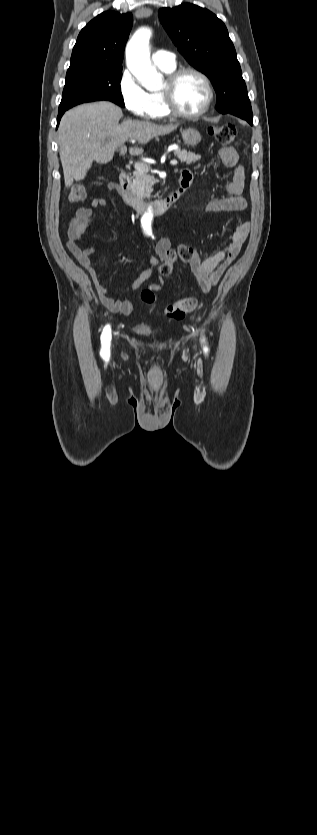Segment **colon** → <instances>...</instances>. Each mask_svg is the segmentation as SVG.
Masks as SVG:
<instances>
[{
	"label": "colon",
	"instance_id": "5ec220e1",
	"mask_svg": "<svg viewBox=\"0 0 317 835\" xmlns=\"http://www.w3.org/2000/svg\"><path fill=\"white\" fill-rule=\"evenodd\" d=\"M215 140L222 145L231 144L236 137V128L233 125L212 126L209 130ZM86 188L81 184L73 185L70 189L68 200L72 204L83 201L86 197ZM196 250L189 246H182L177 253L180 260H188L196 254ZM172 272V263L166 262L161 265V273L169 275ZM140 299L146 304H153L156 300L155 293L151 289H144L140 293ZM197 306V300L193 297L180 299L170 304L165 309V314L175 320H181L185 315L193 311Z\"/></svg>",
	"mask_w": 317,
	"mask_h": 835
}]
</instances>
